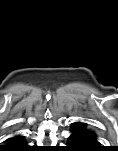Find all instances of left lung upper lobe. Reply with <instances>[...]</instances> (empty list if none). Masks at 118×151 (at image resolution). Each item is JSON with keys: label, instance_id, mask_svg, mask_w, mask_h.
<instances>
[{"label": "left lung upper lobe", "instance_id": "1", "mask_svg": "<svg viewBox=\"0 0 118 151\" xmlns=\"http://www.w3.org/2000/svg\"><path fill=\"white\" fill-rule=\"evenodd\" d=\"M72 127L76 128L78 130H81L86 135H88L96 144H98L96 134L87 128L86 123L77 122V123L73 124Z\"/></svg>", "mask_w": 118, "mask_h": 151}]
</instances>
